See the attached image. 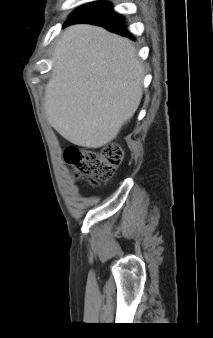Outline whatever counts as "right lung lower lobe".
Here are the masks:
<instances>
[{
    "label": "right lung lower lobe",
    "mask_w": 213,
    "mask_h": 338,
    "mask_svg": "<svg viewBox=\"0 0 213 338\" xmlns=\"http://www.w3.org/2000/svg\"><path fill=\"white\" fill-rule=\"evenodd\" d=\"M89 23L107 28L122 36L134 39L123 25L124 18L113 11L109 2L100 1L87 4L74 12L63 25Z\"/></svg>",
    "instance_id": "1"
}]
</instances>
